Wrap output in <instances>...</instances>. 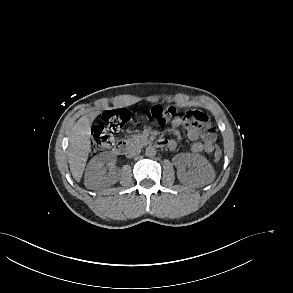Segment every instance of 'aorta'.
I'll list each match as a JSON object with an SVG mask.
<instances>
[{
    "instance_id": "aorta-1",
    "label": "aorta",
    "mask_w": 293,
    "mask_h": 293,
    "mask_svg": "<svg viewBox=\"0 0 293 293\" xmlns=\"http://www.w3.org/2000/svg\"><path fill=\"white\" fill-rule=\"evenodd\" d=\"M156 153H157V151L153 146H148L145 149V154L147 157H154V156H156Z\"/></svg>"
}]
</instances>
